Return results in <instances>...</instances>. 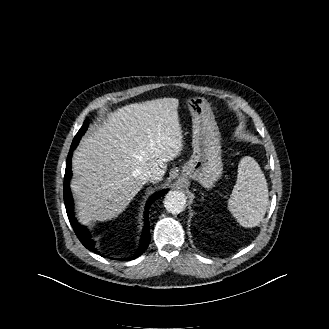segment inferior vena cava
<instances>
[{"mask_svg":"<svg viewBox=\"0 0 329 329\" xmlns=\"http://www.w3.org/2000/svg\"><path fill=\"white\" fill-rule=\"evenodd\" d=\"M140 179L142 181H144V183L146 182H157L160 178L158 177V174L156 171H152V170H144L142 172V174L140 175Z\"/></svg>","mask_w":329,"mask_h":329,"instance_id":"obj_1","label":"inferior vena cava"}]
</instances>
